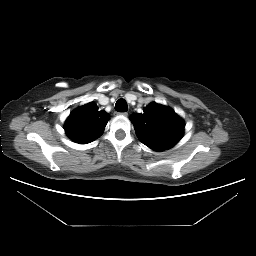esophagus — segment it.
Instances as JSON below:
<instances>
[{
    "mask_svg": "<svg viewBox=\"0 0 256 256\" xmlns=\"http://www.w3.org/2000/svg\"><path fill=\"white\" fill-rule=\"evenodd\" d=\"M121 115H123V116H128V113H127V112H124V113H121Z\"/></svg>",
    "mask_w": 256,
    "mask_h": 256,
    "instance_id": "esophagus-1",
    "label": "esophagus"
}]
</instances>
